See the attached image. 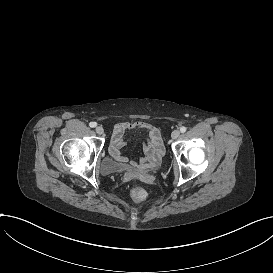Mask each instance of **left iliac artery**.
Returning <instances> with one entry per match:
<instances>
[{"mask_svg":"<svg viewBox=\"0 0 273 273\" xmlns=\"http://www.w3.org/2000/svg\"><path fill=\"white\" fill-rule=\"evenodd\" d=\"M186 130H187V128H186L185 126H182V127L180 128V132H181V133H185Z\"/></svg>","mask_w":273,"mask_h":273,"instance_id":"left-iliac-artery-1","label":"left iliac artery"}]
</instances>
